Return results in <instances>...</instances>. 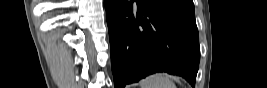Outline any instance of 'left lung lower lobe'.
Listing matches in <instances>:
<instances>
[{
    "mask_svg": "<svg viewBox=\"0 0 267 88\" xmlns=\"http://www.w3.org/2000/svg\"><path fill=\"white\" fill-rule=\"evenodd\" d=\"M115 88L155 72L193 87L200 59L194 8L172 0H105Z\"/></svg>",
    "mask_w": 267,
    "mask_h": 88,
    "instance_id": "obj_1",
    "label": "left lung lower lobe"
}]
</instances>
